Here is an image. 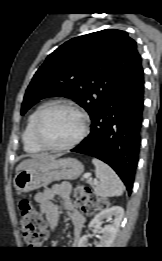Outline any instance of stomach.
Segmentation results:
<instances>
[{"label": "stomach", "instance_id": "1", "mask_svg": "<svg viewBox=\"0 0 162 261\" xmlns=\"http://www.w3.org/2000/svg\"><path fill=\"white\" fill-rule=\"evenodd\" d=\"M84 171L83 164L71 157L47 158L39 165L16 172L13 183L16 190L30 192L54 181L74 180Z\"/></svg>", "mask_w": 162, "mask_h": 261}]
</instances>
